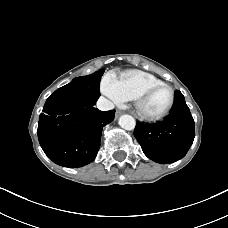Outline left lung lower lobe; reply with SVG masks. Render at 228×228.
Wrapping results in <instances>:
<instances>
[{
  "instance_id": "0a47b994",
  "label": "left lung lower lobe",
  "mask_w": 228,
  "mask_h": 228,
  "mask_svg": "<svg viewBox=\"0 0 228 228\" xmlns=\"http://www.w3.org/2000/svg\"><path fill=\"white\" fill-rule=\"evenodd\" d=\"M134 136L144 154L160 164L175 162L183 158L195 137L194 120L180 91L170 115L155 125L136 123Z\"/></svg>"
}]
</instances>
